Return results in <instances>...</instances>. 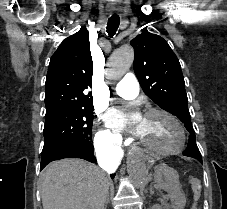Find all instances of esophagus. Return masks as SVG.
<instances>
[{"mask_svg": "<svg viewBox=\"0 0 227 209\" xmlns=\"http://www.w3.org/2000/svg\"><path fill=\"white\" fill-rule=\"evenodd\" d=\"M154 158V155L151 151H146L145 156L141 160L142 164H145L146 167H153L154 163L152 162V159Z\"/></svg>", "mask_w": 227, "mask_h": 209, "instance_id": "1", "label": "esophagus"}]
</instances>
